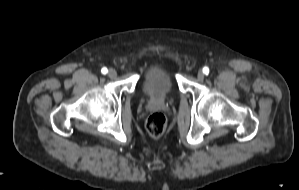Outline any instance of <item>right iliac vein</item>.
I'll use <instances>...</instances> for the list:
<instances>
[{"label":"right iliac vein","mask_w":299,"mask_h":190,"mask_svg":"<svg viewBox=\"0 0 299 190\" xmlns=\"http://www.w3.org/2000/svg\"><path fill=\"white\" fill-rule=\"evenodd\" d=\"M108 76L113 79V78H116L117 76V72L115 69H110L109 72H108Z\"/></svg>","instance_id":"right-iliac-vein-1"}]
</instances>
